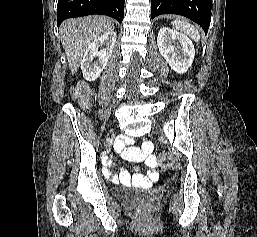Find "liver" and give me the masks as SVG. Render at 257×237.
<instances>
[{"mask_svg":"<svg viewBox=\"0 0 257 237\" xmlns=\"http://www.w3.org/2000/svg\"><path fill=\"white\" fill-rule=\"evenodd\" d=\"M113 29L112 20L103 16L68 19L61 25V43L72 75L77 72L87 47L96 38Z\"/></svg>","mask_w":257,"mask_h":237,"instance_id":"liver-1","label":"liver"}]
</instances>
